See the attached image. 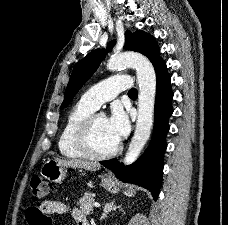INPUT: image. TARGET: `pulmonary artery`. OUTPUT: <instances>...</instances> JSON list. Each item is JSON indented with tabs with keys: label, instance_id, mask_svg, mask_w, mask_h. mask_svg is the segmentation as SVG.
I'll return each mask as SVG.
<instances>
[{
	"label": "pulmonary artery",
	"instance_id": "obj_1",
	"mask_svg": "<svg viewBox=\"0 0 228 225\" xmlns=\"http://www.w3.org/2000/svg\"><path fill=\"white\" fill-rule=\"evenodd\" d=\"M129 80V75H118L109 78L106 81H100V85H93V89L82 94L80 101L84 104L97 110L104 102L113 99L120 90H131L132 86L129 81H114V80Z\"/></svg>",
	"mask_w": 228,
	"mask_h": 225
}]
</instances>
